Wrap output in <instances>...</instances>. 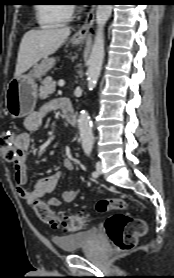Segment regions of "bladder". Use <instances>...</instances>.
<instances>
[{
  "instance_id": "obj_1",
  "label": "bladder",
  "mask_w": 174,
  "mask_h": 278,
  "mask_svg": "<svg viewBox=\"0 0 174 278\" xmlns=\"http://www.w3.org/2000/svg\"><path fill=\"white\" fill-rule=\"evenodd\" d=\"M99 236L96 228L53 237L54 244L64 252H74L94 243Z\"/></svg>"
}]
</instances>
